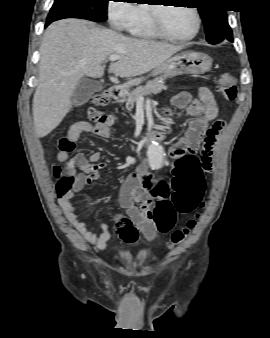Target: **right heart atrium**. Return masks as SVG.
<instances>
[{"instance_id": "obj_1", "label": "right heart atrium", "mask_w": 270, "mask_h": 338, "mask_svg": "<svg viewBox=\"0 0 270 338\" xmlns=\"http://www.w3.org/2000/svg\"><path fill=\"white\" fill-rule=\"evenodd\" d=\"M111 24L119 29H125L135 18V7L128 2H115L108 7Z\"/></svg>"}]
</instances>
